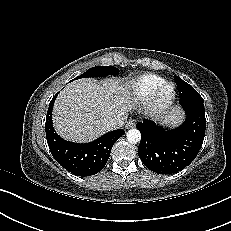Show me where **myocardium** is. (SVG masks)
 <instances>
[{"label":"myocardium","instance_id":"1","mask_svg":"<svg viewBox=\"0 0 231 231\" xmlns=\"http://www.w3.org/2000/svg\"><path fill=\"white\" fill-rule=\"evenodd\" d=\"M165 91H168L166 96L163 95ZM175 99V85L171 82H163L153 91L144 103V112L146 115L153 118L162 117L172 108Z\"/></svg>","mask_w":231,"mask_h":231}]
</instances>
